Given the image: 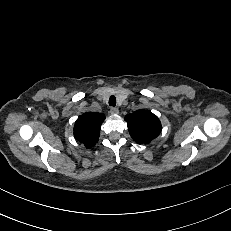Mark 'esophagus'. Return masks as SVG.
<instances>
[{
  "instance_id": "34e87169",
  "label": "esophagus",
  "mask_w": 231,
  "mask_h": 231,
  "mask_svg": "<svg viewBox=\"0 0 231 231\" xmlns=\"http://www.w3.org/2000/svg\"><path fill=\"white\" fill-rule=\"evenodd\" d=\"M109 112L110 114L116 115L119 113V110L118 108L111 107Z\"/></svg>"
}]
</instances>
